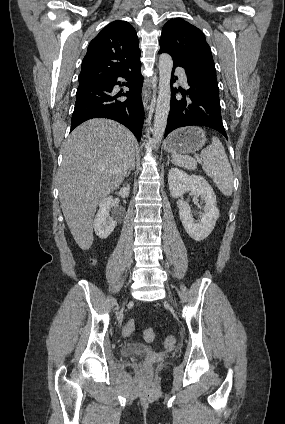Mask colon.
Here are the masks:
<instances>
[{
	"mask_svg": "<svg viewBox=\"0 0 285 424\" xmlns=\"http://www.w3.org/2000/svg\"><path fill=\"white\" fill-rule=\"evenodd\" d=\"M135 330V321L130 320L128 321L123 328V334L125 336L131 335ZM154 330L152 328H146L143 332V337L146 341H152L154 339ZM175 343V338L172 336L167 337L166 339V345L172 346Z\"/></svg>",
	"mask_w": 285,
	"mask_h": 424,
	"instance_id": "5ec220e1",
	"label": "colon"
}]
</instances>
